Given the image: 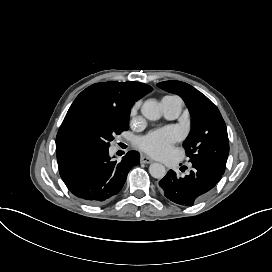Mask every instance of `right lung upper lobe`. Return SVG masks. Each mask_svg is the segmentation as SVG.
I'll use <instances>...</instances> for the list:
<instances>
[{
	"label": "right lung upper lobe",
	"instance_id": "obj_1",
	"mask_svg": "<svg viewBox=\"0 0 272 272\" xmlns=\"http://www.w3.org/2000/svg\"><path fill=\"white\" fill-rule=\"evenodd\" d=\"M152 91V87L139 82H101L82 91L69 108L62 125L79 109L96 107L113 111L121 116L130 114L138 99Z\"/></svg>",
	"mask_w": 272,
	"mask_h": 272
}]
</instances>
